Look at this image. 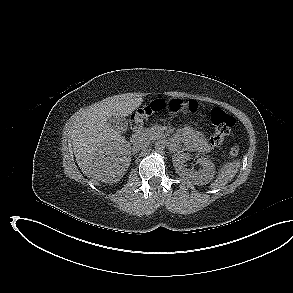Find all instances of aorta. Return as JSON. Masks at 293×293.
<instances>
[{
	"label": "aorta",
	"mask_w": 293,
	"mask_h": 293,
	"mask_svg": "<svg viewBox=\"0 0 293 293\" xmlns=\"http://www.w3.org/2000/svg\"><path fill=\"white\" fill-rule=\"evenodd\" d=\"M155 149L157 151H163L165 149V142L164 141L155 142Z\"/></svg>",
	"instance_id": "aorta-1"
}]
</instances>
